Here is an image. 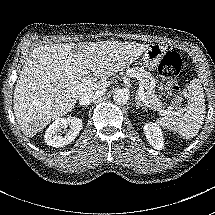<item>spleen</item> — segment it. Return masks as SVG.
<instances>
[{"label": "spleen", "instance_id": "obj_1", "mask_svg": "<svg viewBox=\"0 0 215 215\" xmlns=\"http://www.w3.org/2000/svg\"><path fill=\"white\" fill-rule=\"evenodd\" d=\"M205 117V99L199 84L192 82L187 93L186 112L182 116L155 118L156 125L164 131L178 133L183 140L191 139L201 129Z\"/></svg>", "mask_w": 215, "mask_h": 215}]
</instances>
